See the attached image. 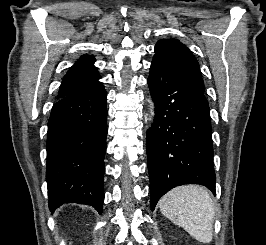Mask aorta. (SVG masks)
Instances as JSON below:
<instances>
[{"label": "aorta", "instance_id": "762f6f07", "mask_svg": "<svg viewBox=\"0 0 266 245\" xmlns=\"http://www.w3.org/2000/svg\"><path fill=\"white\" fill-rule=\"evenodd\" d=\"M148 104H149V110H148L149 116H150V118H154V116H155V104H154L152 98H149Z\"/></svg>", "mask_w": 266, "mask_h": 245}]
</instances>
